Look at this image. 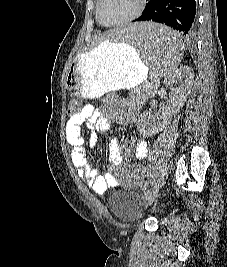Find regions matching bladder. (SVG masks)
I'll list each match as a JSON object with an SVG mask.
<instances>
[{"label":"bladder","instance_id":"bladder-1","mask_svg":"<svg viewBox=\"0 0 227 267\" xmlns=\"http://www.w3.org/2000/svg\"><path fill=\"white\" fill-rule=\"evenodd\" d=\"M109 206L113 215L121 220L135 218L141 212L137 196L127 190L113 193L109 199Z\"/></svg>","mask_w":227,"mask_h":267}]
</instances>
